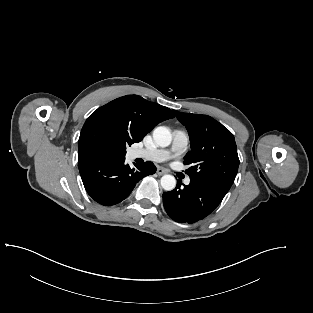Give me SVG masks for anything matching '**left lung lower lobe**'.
Masks as SVG:
<instances>
[{"label": "left lung lower lobe", "mask_w": 313, "mask_h": 313, "mask_svg": "<svg viewBox=\"0 0 313 313\" xmlns=\"http://www.w3.org/2000/svg\"><path fill=\"white\" fill-rule=\"evenodd\" d=\"M228 191L214 183L191 179L189 185L181 188L177 182L174 190L163 193V204L174 221L190 224L214 211Z\"/></svg>", "instance_id": "obj_1"}]
</instances>
